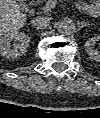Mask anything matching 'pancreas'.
<instances>
[{"label":"pancreas","mask_w":100,"mask_h":118,"mask_svg":"<svg viewBox=\"0 0 100 118\" xmlns=\"http://www.w3.org/2000/svg\"><path fill=\"white\" fill-rule=\"evenodd\" d=\"M46 0H38V3H43L45 2Z\"/></svg>","instance_id":"pancreas-1"}]
</instances>
